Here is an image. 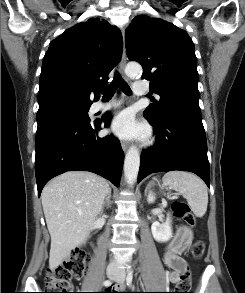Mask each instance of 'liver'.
I'll return each mask as SVG.
<instances>
[{"mask_svg": "<svg viewBox=\"0 0 245 293\" xmlns=\"http://www.w3.org/2000/svg\"><path fill=\"white\" fill-rule=\"evenodd\" d=\"M109 190L104 178L85 171L66 172L43 188L42 206L51 236V270L87 241Z\"/></svg>", "mask_w": 245, "mask_h": 293, "instance_id": "1", "label": "liver"}]
</instances>
